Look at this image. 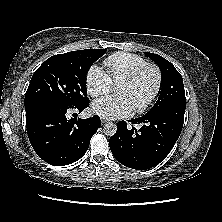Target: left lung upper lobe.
I'll return each instance as SVG.
<instances>
[{"instance_id":"obj_1","label":"left lung upper lobe","mask_w":222,"mask_h":222,"mask_svg":"<svg viewBox=\"0 0 222 222\" xmlns=\"http://www.w3.org/2000/svg\"><path fill=\"white\" fill-rule=\"evenodd\" d=\"M146 55L159 66L162 73L161 92L157 102L150 111L157 110L169 104L186 105L183 79L176 68L158 54L146 53Z\"/></svg>"}]
</instances>
